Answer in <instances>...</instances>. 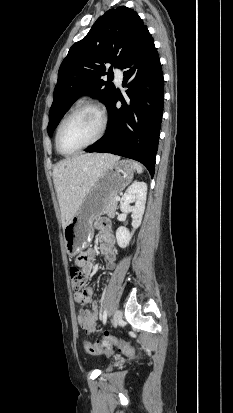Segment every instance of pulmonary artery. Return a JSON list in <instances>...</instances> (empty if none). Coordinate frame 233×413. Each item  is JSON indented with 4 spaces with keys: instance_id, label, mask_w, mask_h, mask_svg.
Instances as JSON below:
<instances>
[{
    "instance_id": "e3ab8cb5",
    "label": "pulmonary artery",
    "mask_w": 233,
    "mask_h": 413,
    "mask_svg": "<svg viewBox=\"0 0 233 413\" xmlns=\"http://www.w3.org/2000/svg\"><path fill=\"white\" fill-rule=\"evenodd\" d=\"M123 80V72L120 69L115 70V82L117 85H121Z\"/></svg>"
}]
</instances>
